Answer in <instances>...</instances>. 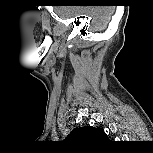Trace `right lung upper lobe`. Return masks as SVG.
I'll return each instance as SVG.
<instances>
[{
    "label": "right lung upper lobe",
    "instance_id": "right-lung-upper-lobe-1",
    "mask_svg": "<svg viewBox=\"0 0 153 153\" xmlns=\"http://www.w3.org/2000/svg\"><path fill=\"white\" fill-rule=\"evenodd\" d=\"M69 142L80 146H93L107 141V136L101 128H75L66 138Z\"/></svg>",
    "mask_w": 153,
    "mask_h": 153
}]
</instances>
